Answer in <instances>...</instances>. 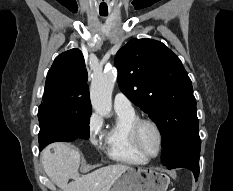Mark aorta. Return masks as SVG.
<instances>
[{
    "mask_svg": "<svg viewBox=\"0 0 233 191\" xmlns=\"http://www.w3.org/2000/svg\"><path fill=\"white\" fill-rule=\"evenodd\" d=\"M116 70L108 68L93 78L90 99L93 109L101 116L109 117L112 108V91L116 82Z\"/></svg>",
    "mask_w": 233,
    "mask_h": 191,
    "instance_id": "1",
    "label": "aorta"
}]
</instances>
